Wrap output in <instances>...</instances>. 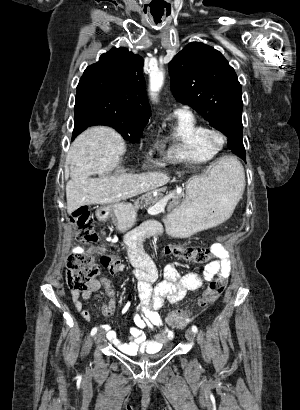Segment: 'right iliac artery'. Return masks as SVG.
Masks as SVG:
<instances>
[{
  "mask_svg": "<svg viewBox=\"0 0 300 410\" xmlns=\"http://www.w3.org/2000/svg\"><path fill=\"white\" fill-rule=\"evenodd\" d=\"M96 332H97V328H96V327H94V328L91 330V336L95 335V334H96Z\"/></svg>",
  "mask_w": 300,
  "mask_h": 410,
  "instance_id": "82829eb1",
  "label": "right iliac artery"
}]
</instances>
